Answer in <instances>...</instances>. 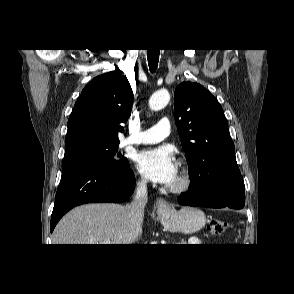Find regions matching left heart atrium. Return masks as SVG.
Here are the masks:
<instances>
[{
	"instance_id": "1",
	"label": "left heart atrium",
	"mask_w": 294,
	"mask_h": 294,
	"mask_svg": "<svg viewBox=\"0 0 294 294\" xmlns=\"http://www.w3.org/2000/svg\"><path fill=\"white\" fill-rule=\"evenodd\" d=\"M139 172L147 179L169 185L178 173V164L172 151L166 147L151 148L135 157Z\"/></svg>"
}]
</instances>
